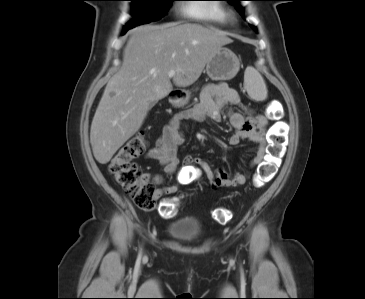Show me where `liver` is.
I'll list each match as a JSON object with an SVG mask.
<instances>
[{
	"mask_svg": "<svg viewBox=\"0 0 365 299\" xmlns=\"http://www.w3.org/2000/svg\"><path fill=\"white\" fill-rule=\"evenodd\" d=\"M232 39L223 31L198 24L144 25L131 30L120 70L106 85L90 129L95 159L107 164L142 126L150 104L173 86L193 84L215 52Z\"/></svg>",
	"mask_w": 365,
	"mask_h": 299,
	"instance_id": "6515ba94",
	"label": "liver"
}]
</instances>
